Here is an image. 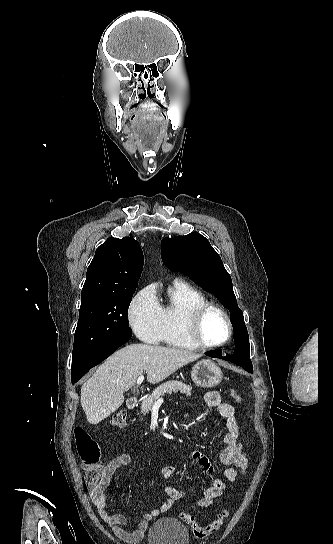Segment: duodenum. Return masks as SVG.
Instances as JSON below:
<instances>
[{"instance_id":"1","label":"duodenum","mask_w":333,"mask_h":544,"mask_svg":"<svg viewBox=\"0 0 333 544\" xmlns=\"http://www.w3.org/2000/svg\"><path fill=\"white\" fill-rule=\"evenodd\" d=\"M138 405V399L135 397H131L127 401V407L129 409H134Z\"/></svg>"}]
</instances>
